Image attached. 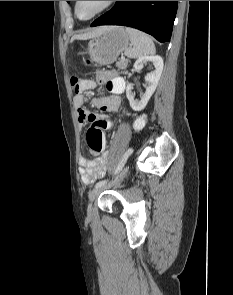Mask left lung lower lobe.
I'll use <instances>...</instances> for the list:
<instances>
[{"label":"left lung lower lobe","instance_id":"0a47b994","mask_svg":"<svg viewBox=\"0 0 233 295\" xmlns=\"http://www.w3.org/2000/svg\"><path fill=\"white\" fill-rule=\"evenodd\" d=\"M178 1H117L91 26L124 25L144 31L160 42L170 41Z\"/></svg>","mask_w":233,"mask_h":295}]
</instances>
